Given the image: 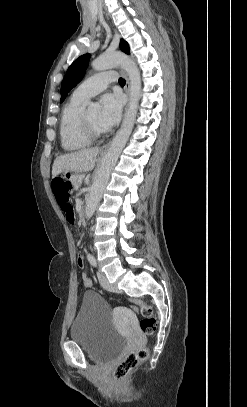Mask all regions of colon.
I'll use <instances>...</instances> for the list:
<instances>
[{
    "label": "colon",
    "instance_id": "colon-1",
    "mask_svg": "<svg viewBox=\"0 0 247 407\" xmlns=\"http://www.w3.org/2000/svg\"><path fill=\"white\" fill-rule=\"evenodd\" d=\"M52 191L56 198L59 208L64 213L71 208V191L72 186L68 181L61 178H56L52 181ZM130 303L134 310L140 312L142 318L139 322V328L145 335L152 336L156 332L157 322L153 316V311L150 305L139 299H130ZM149 351L147 348H140L127 354L124 359L113 370V378L117 381L125 379L137 366L148 358Z\"/></svg>",
    "mask_w": 247,
    "mask_h": 407
}]
</instances>
